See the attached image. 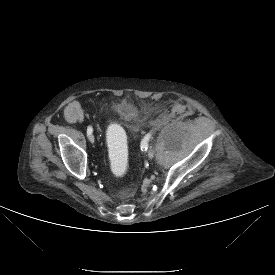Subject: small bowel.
Returning <instances> with one entry per match:
<instances>
[{
  "mask_svg": "<svg viewBox=\"0 0 275 275\" xmlns=\"http://www.w3.org/2000/svg\"><path fill=\"white\" fill-rule=\"evenodd\" d=\"M84 100L77 95L71 96L66 105H63L58 112L59 118L66 123L73 124L81 122L84 114Z\"/></svg>",
  "mask_w": 275,
  "mask_h": 275,
  "instance_id": "c3829d8e",
  "label": "small bowel"
}]
</instances>
